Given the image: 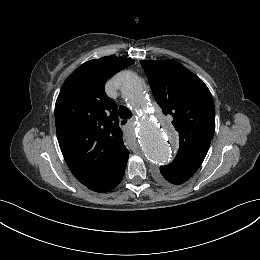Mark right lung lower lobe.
<instances>
[{
  "label": "right lung lower lobe",
  "mask_w": 260,
  "mask_h": 260,
  "mask_svg": "<svg viewBox=\"0 0 260 260\" xmlns=\"http://www.w3.org/2000/svg\"><path fill=\"white\" fill-rule=\"evenodd\" d=\"M124 172H125V168L122 169L113 179L98 183L93 186H89V189L101 193L111 191L118 186V184L122 180Z\"/></svg>",
  "instance_id": "right-lung-lower-lobe-1"
}]
</instances>
